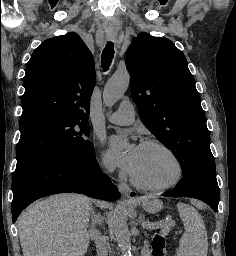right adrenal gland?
Listing matches in <instances>:
<instances>
[{"label":"right adrenal gland","instance_id":"obj_1","mask_svg":"<svg viewBox=\"0 0 236 256\" xmlns=\"http://www.w3.org/2000/svg\"><path fill=\"white\" fill-rule=\"evenodd\" d=\"M91 220H92L91 230H94V228H95V220H98V222H99V220H101L100 214H96V212H94V208H92Z\"/></svg>","mask_w":236,"mask_h":256}]
</instances>
